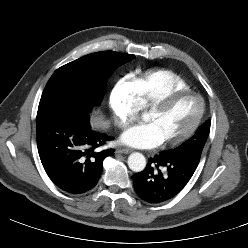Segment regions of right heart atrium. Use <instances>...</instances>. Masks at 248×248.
<instances>
[{
  "label": "right heart atrium",
  "instance_id": "1",
  "mask_svg": "<svg viewBox=\"0 0 248 248\" xmlns=\"http://www.w3.org/2000/svg\"><path fill=\"white\" fill-rule=\"evenodd\" d=\"M109 108L119 128L129 127L138 117L141 107L126 81L118 82L110 91Z\"/></svg>",
  "mask_w": 248,
  "mask_h": 248
}]
</instances>
